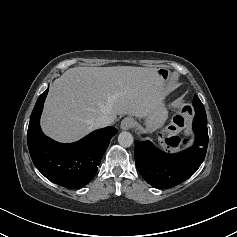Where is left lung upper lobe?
<instances>
[{"instance_id": "1", "label": "left lung upper lobe", "mask_w": 237, "mask_h": 237, "mask_svg": "<svg viewBox=\"0 0 237 237\" xmlns=\"http://www.w3.org/2000/svg\"><path fill=\"white\" fill-rule=\"evenodd\" d=\"M193 107L195 109L196 116L206 117L204 106L197 95L194 96Z\"/></svg>"}]
</instances>
